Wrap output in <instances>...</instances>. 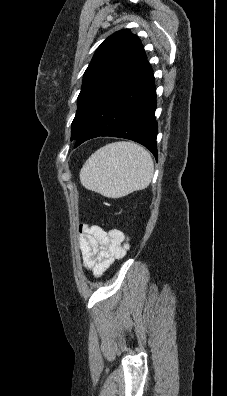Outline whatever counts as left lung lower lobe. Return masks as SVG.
<instances>
[{"instance_id":"0a47b994","label":"left lung lower lobe","mask_w":227,"mask_h":396,"mask_svg":"<svg viewBox=\"0 0 227 396\" xmlns=\"http://www.w3.org/2000/svg\"><path fill=\"white\" fill-rule=\"evenodd\" d=\"M147 59L96 106L75 147L99 137H121L147 147L157 159L156 88Z\"/></svg>"}]
</instances>
